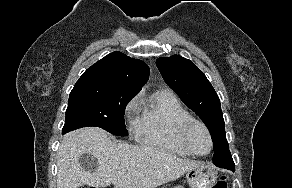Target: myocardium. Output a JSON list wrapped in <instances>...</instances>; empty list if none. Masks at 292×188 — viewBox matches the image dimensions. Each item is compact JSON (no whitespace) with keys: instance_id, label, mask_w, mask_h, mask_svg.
<instances>
[{"instance_id":"myocardium-1","label":"myocardium","mask_w":292,"mask_h":188,"mask_svg":"<svg viewBox=\"0 0 292 188\" xmlns=\"http://www.w3.org/2000/svg\"><path fill=\"white\" fill-rule=\"evenodd\" d=\"M193 125H198V126L202 127L203 130L205 131V133L207 134V137H208L209 143H210V147H209L208 152L205 154H200V153L196 152L192 148V146L190 145V143L188 141V132ZM178 138H179L180 143L183 145V147L192 155L204 157V156H208L211 153V151L213 150V138H212V135H211V132H210L208 126L203 121L196 119L194 117H189V118L183 120L179 124Z\"/></svg>"}]
</instances>
